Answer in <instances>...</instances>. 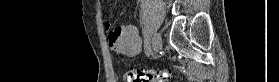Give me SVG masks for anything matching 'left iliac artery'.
<instances>
[{
  "label": "left iliac artery",
  "mask_w": 279,
  "mask_h": 82,
  "mask_svg": "<svg viewBox=\"0 0 279 82\" xmlns=\"http://www.w3.org/2000/svg\"><path fill=\"white\" fill-rule=\"evenodd\" d=\"M143 37H144V49L145 53L149 55L150 53V40H151V29L150 24L146 23L143 29Z\"/></svg>",
  "instance_id": "1"
}]
</instances>
